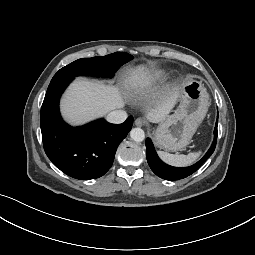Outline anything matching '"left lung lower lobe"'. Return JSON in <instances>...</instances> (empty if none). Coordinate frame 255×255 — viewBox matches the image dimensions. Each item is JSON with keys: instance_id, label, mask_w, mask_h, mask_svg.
Instances as JSON below:
<instances>
[{"instance_id": "1", "label": "left lung lower lobe", "mask_w": 255, "mask_h": 255, "mask_svg": "<svg viewBox=\"0 0 255 255\" xmlns=\"http://www.w3.org/2000/svg\"><path fill=\"white\" fill-rule=\"evenodd\" d=\"M217 125H218V116H217V121H216L215 129H214L213 143L210 149L204 155V157L201 160H199L197 163H195L194 165L189 167H184V168L172 167L162 162L159 159L154 149L151 139L147 138L145 142L146 157L151 170L160 178L169 180V181L183 179L193 174L212 155V153L215 150L216 142H217Z\"/></svg>"}]
</instances>
